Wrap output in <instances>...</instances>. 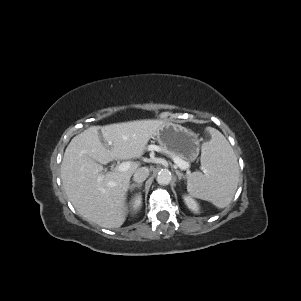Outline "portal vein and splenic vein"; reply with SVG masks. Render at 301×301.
I'll use <instances>...</instances> for the list:
<instances>
[{
  "label": "portal vein and splenic vein",
  "instance_id": "portal-vein-and-splenic-vein-1",
  "mask_svg": "<svg viewBox=\"0 0 301 301\" xmlns=\"http://www.w3.org/2000/svg\"><path fill=\"white\" fill-rule=\"evenodd\" d=\"M154 150H159V147L158 146H152ZM174 163L180 168V169H188L189 168V164L188 162L176 157L174 158ZM131 166V163L130 162H123L119 165L116 166V171H119V172H124L126 170H128Z\"/></svg>",
  "mask_w": 301,
  "mask_h": 301
}]
</instances>
